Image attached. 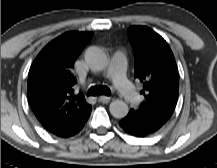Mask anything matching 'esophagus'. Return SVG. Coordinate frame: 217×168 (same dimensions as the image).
<instances>
[{
	"mask_svg": "<svg viewBox=\"0 0 217 168\" xmlns=\"http://www.w3.org/2000/svg\"><path fill=\"white\" fill-rule=\"evenodd\" d=\"M98 100H99V102L105 104V103L110 102L111 98L108 96H105V95H101V96H99Z\"/></svg>",
	"mask_w": 217,
	"mask_h": 168,
	"instance_id": "obj_1",
	"label": "esophagus"
}]
</instances>
